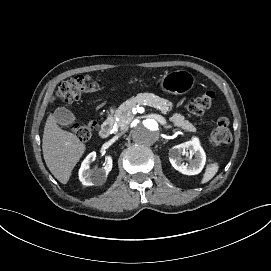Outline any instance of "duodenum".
Masks as SVG:
<instances>
[{
	"label": "duodenum",
	"mask_w": 271,
	"mask_h": 271,
	"mask_svg": "<svg viewBox=\"0 0 271 271\" xmlns=\"http://www.w3.org/2000/svg\"><path fill=\"white\" fill-rule=\"evenodd\" d=\"M114 127V119L112 115H109L106 120L102 123L100 128V137L103 139L108 138L112 132Z\"/></svg>",
	"instance_id": "duodenum-1"
}]
</instances>
